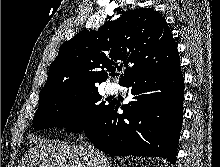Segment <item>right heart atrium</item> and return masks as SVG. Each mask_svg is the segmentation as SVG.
Returning <instances> with one entry per match:
<instances>
[{
  "instance_id": "d8ad5b80",
  "label": "right heart atrium",
  "mask_w": 220,
  "mask_h": 167,
  "mask_svg": "<svg viewBox=\"0 0 220 167\" xmlns=\"http://www.w3.org/2000/svg\"><path fill=\"white\" fill-rule=\"evenodd\" d=\"M83 114H84V107L81 104H78L72 109L70 113V120L72 122L79 121L83 117Z\"/></svg>"
}]
</instances>
